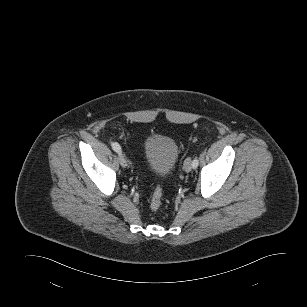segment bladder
<instances>
[{"label": "bladder", "instance_id": "obj_1", "mask_svg": "<svg viewBox=\"0 0 307 307\" xmlns=\"http://www.w3.org/2000/svg\"><path fill=\"white\" fill-rule=\"evenodd\" d=\"M142 148L145 163L152 174L167 177L172 172L179 154L172 138L153 134L144 140Z\"/></svg>", "mask_w": 307, "mask_h": 307}]
</instances>
